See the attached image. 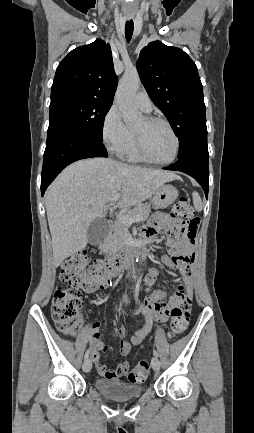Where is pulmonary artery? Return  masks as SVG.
<instances>
[{
    "label": "pulmonary artery",
    "instance_id": "pulmonary-artery-1",
    "mask_svg": "<svg viewBox=\"0 0 254 433\" xmlns=\"http://www.w3.org/2000/svg\"><path fill=\"white\" fill-rule=\"evenodd\" d=\"M135 104L141 111L150 113L152 111V101L148 94L144 91H140L135 96Z\"/></svg>",
    "mask_w": 254,
    "mask_h": 433
}]
</instances>
